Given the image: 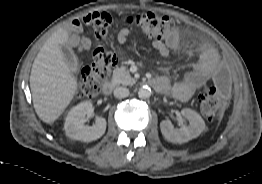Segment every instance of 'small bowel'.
I'll list each match as a JSON object with an SVG mask.
<instances>
[{"mask_svg":"<svg viewBox=\"0 0 262 184\" xmlns=\"http://www.w3.org/2000/svg\"><path fill=\"white\" fill-rule=\"evenodd\" d=\"M80 29L81 23L77 19L69 25L70 31L77 32ZM131 33L130 29L123 28L117 33V40L121 43L127 42ZM69 44L81 50H89L91 40L88 37L73 35L69 39ZM152 45L164 57L168 56L171 52H186L180 35L177 32H174L165 40H153ZM195 51L198 57L193 63V69L181 81L171 84L166 77L155 78L159 82V87L156 89L158 92L173 96L181 102H187L198 89L209 82L217 81L216 73L219 67L223 65L219 53L208 45H200Z\"/></svg>","mask_w":262,"mask_h":184,"instance_id":"1","label":"small bowel"}]
</instances>
